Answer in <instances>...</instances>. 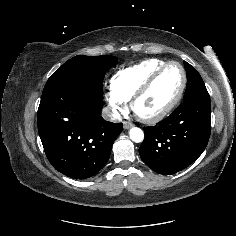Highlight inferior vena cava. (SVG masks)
Returning a JSON list of instances; mask_svg holds the SVG:
<instances>
[{
	"instance_id": "inferior-vena-cava-1",
	"label": "inferior vena cava",
	"mask_w": 236,
	"mask_h": 236,
	"mask_svg": "<svg viewBox=\"0 0 236 236\" xmlns=\"http://www.w3.org/2000/svg\"><path fill=\"white\" fill-rule=\"evenodd\" d=\"M102 116L104 119L110 120V121H116L120 117L119 114L115 112L113 109H111L110 107H105L103 109Z\"/></svg>"
}]
</instances>
